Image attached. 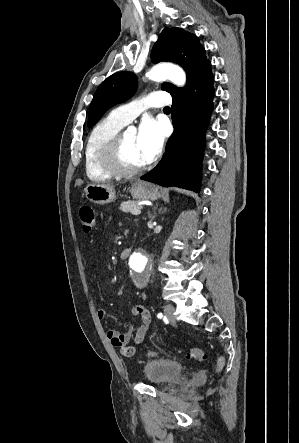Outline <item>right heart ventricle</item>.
Segmentation results:
<instances>
[{
    "instance_id": "1",
    "label": "right heart ventricle",
    "mask_w": 299,
    "mask_h": 443,
    "mask_svg": "<svg viewBox=\"0 0 299 443\" xmlns=\"http://www.w3.org/2000/svg\"><path fill=\"white\" fill-rule=\"evenodd\" d=\"M125 126L124 123L107 116L98 122L91 130L85 146V171L87 177L93 182L110 180L113 175L108 172L102 163V152L109 143Z\"/></svg>"
}]
</instances>
